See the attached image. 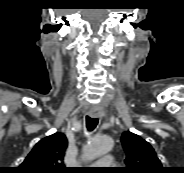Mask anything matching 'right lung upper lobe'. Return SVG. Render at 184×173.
I'll use <instances>...</instances> for the list:
<instances>
[{
	"label": "right lung upper lobe",
	"instance_id": "1",
	"mask_svg": "<svg viewBox=\"0 0 184 173\" xmlns=\"http://www.w3.org/2000/svg\"><path fill=\"white\" fill-rule=\"evenodd\" d=\"M67 148L66 136L55 133L40 140L17 168L19 173H67L63 158Z\"/></svg>",
	"mask_w": 184,
	"mask_h": 173
}]
</instances>
